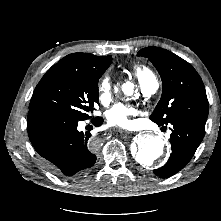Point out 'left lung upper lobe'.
Segmentation results:
<instances>
[{"instance_id": "5c2ea615", "label": "left lung upper lobe", "mask_w": 221, "mask_h": 221, "mask_svg": "<svg viewBox=\"0 0 221 221\" xmlns=\"http://www.w3.org/2000/svg\"><path fill=\"white\" fill-rule=\"evenodd\" d=\"M137 55L147 57L162 78V97L150 119L159 126L187 120L205 127L208 100L204 84L193 66L159 47L143 48Z\"/></svg>"}]
</instances>
